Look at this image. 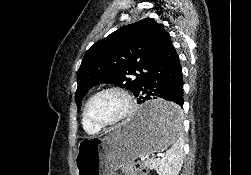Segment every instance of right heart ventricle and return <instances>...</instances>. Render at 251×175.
<instances>
[{
  "mask_svg": "<svg viewBox=\"0 0 251 175\" xmlns=\"http://www.w3.org/2000/svg\"><path fill=\"white\" fill-rule=\"evenodd\" d=\"M82 126H83L84 131L89 135H97V134H99L101 132L100 129L95 128L88 121H86L84 119V115H83V118H82Z\"/></svg>",
  "mask_w": 251,
  "mask_h": 175,
  "instance_id": "right-heart-ventricle-1",
  "label": "right heart ventricle"
}]
</instances>
